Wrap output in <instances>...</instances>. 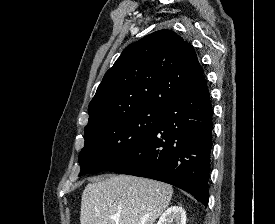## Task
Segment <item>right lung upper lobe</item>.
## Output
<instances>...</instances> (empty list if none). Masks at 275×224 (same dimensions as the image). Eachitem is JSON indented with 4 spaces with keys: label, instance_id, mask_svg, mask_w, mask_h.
<instances>
[{
    "label": "right lung upper lobe",
    "instance_id": "cb5924a9",
    "mask_svg": "<svg viewBox=\"0 0 275 224\" xmlns=\"http://www.w3.org/2000/svg\"><path fill=\"white\" fill-rule=\"evenodd\" d=\"M203 76L194 48L171 30L127 46L89 104L85 129L142 108L166 109Z\"/></svg>",
    "mask_w": 275,
    "mask_h": 224
}]
</instances>
